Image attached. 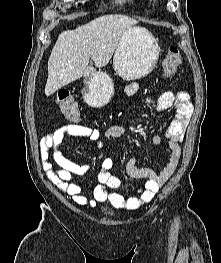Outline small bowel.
I'll list each match as a JSON object with an SVG mask.
<instances>
[{
  "label": "small bowel",
  "mask_w": 221,
  "mask_h": 263,
  "mask_svg": "<svg viewBox=\"0 0 221 263\" xmlns=\"http://www.w3.org/2000/svg\"><path fill=\"white\" fill-rule=\"evenodd\" d=\"M138 89V83L132 82L127 85L125 92L131 96L136 94ZM158 108L161 112L173 109L175 113L165 133L169 146L168 161L160 172L139 167L135 158H130L127 161L126 170L128 175L132 179L146 180L144 187L136 190V195L125 197L119 192L110 191V189H119L122 184L120 179L110 171L113 166L112 159L106 157L102 163V170L98 174V184L90 189L93 199L88 200L83 193V188L75 183V178L85 175L89 171V166L73 162L58 148L64 137L69 135L76 138H86L95 149H102L104 147L103 137L107 139L119 138L126 134L127 128L120 125L109 127L103 135L97 129L77 124L66 125L47 133L40 143V158L43 161L47 177L59 190L68 194L76 204L82 206L94 207L99 202H108L116 209L133 211L139 209L143 204L151 202L179 164L181 157L180 144L185 138L186 128L192 115L190 96L184 91L164 92L160 96ZM160 140L159 136L153 137L155 144L160 143ZM51 156L58 168H55L49 160Z\"/></svg>",
  "instance_id": "1"
}]
</instances>
